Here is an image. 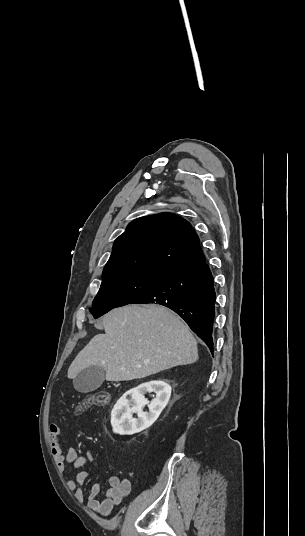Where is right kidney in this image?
I'll return each instance as SVG.
<instances>
[{
  "instance_id": "1",
  "label": "right kidney",
  "mask_w": 305,
  "mask_h": 536,
  "mask_svg": "<svg viewBox=\"0 0 305 536\" xmlns=\"http://www.w3.org/2000/svg\"><path fill=\"white\" fill-rule=\"evenodd\" d=\"M131 400H126L128 394H124L117 404H115L111 414V426L115 434H137L152 426L159 418L162 410L167 406L171 396V386L165 380H151L140 384L137 388L129 390ZM146 392H155L151 404L144 398ZM145 404H148L150 412H142ZM133 414H138V418H132Z\"/></svg>"
}]
</instances>
